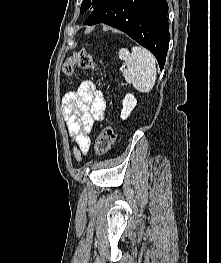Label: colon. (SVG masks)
Segmentation results:
<instances>
[{"label":"colon","instance_id":"colon-1","mask_svg":"<svg viewBox=\"0 0 221 263\" xmlns=\"http://www.w3.org/2000/svg\"><path fill=\"white\" fill-rule=\"evenodd\" d=\"M74 66L81 69H94L95 62L91 53L86 49L75 51L64 63L63 70L69 75L73 72ZM115 132L112 126H106L97 137L95 151L97 154H105L114 144Z\"/></svg>","mask_w":221,"mask_h":263}]
</instances>
